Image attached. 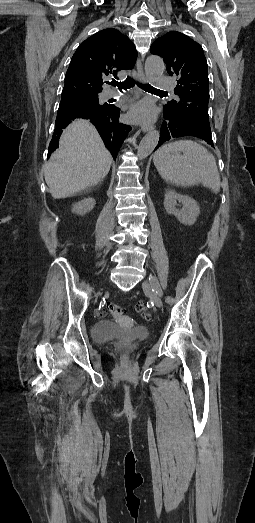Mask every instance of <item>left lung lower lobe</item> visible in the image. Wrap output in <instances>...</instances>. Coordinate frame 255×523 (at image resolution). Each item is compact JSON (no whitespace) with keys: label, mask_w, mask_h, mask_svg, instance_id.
Returning <instances> with one entry per match:
<instances>
[{"label":"left lung lower lobe","mask_w":255,"mask_h":523,"mask_svg":"<svg viewBox=\"0 0 255 523\" xmlns=\"http://www.w3.org/2000/svg\"><path fill=\"white\" fill-rule=\"evenodd\" d=\"M165 116L163 117V123L161 125L162 129H158V144L157 147L162 149L164 147V140H171V137H184L185 135L200 137V140L206 142L208 146L214 145V140H212L211 130H205V127L202 125H197L193 121L184 120V117H175L174 115L169 114V111H165ZM207 140V141H206Z\"/></svg>","instance_id":"left-lung-lower-lobe-1"}]
</instances>
